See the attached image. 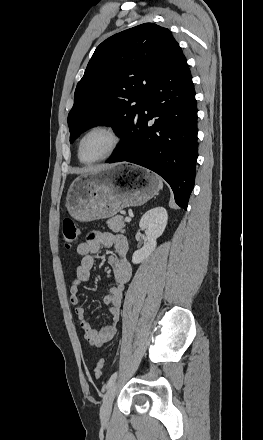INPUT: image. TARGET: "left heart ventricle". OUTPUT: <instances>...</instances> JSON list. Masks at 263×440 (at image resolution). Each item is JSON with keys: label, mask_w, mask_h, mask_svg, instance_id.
Segmentation results:
<instances>
[{"label": "left heart ventricle", "mask_w": 263, "mask_h": 440, "mask_svg": "<svg viewBox=\"0 0 263 440\" xmlns=\"http://www.w3.org/2000/svg\"><path fill=\"white\" fill-rule=\"evenodd\" d=\"M112 144L110 135L105 131H94L82 142L81 157L84 160H94L107 153Z\"/></svg>", "instance_id": "obj_1"}]
</instances>
